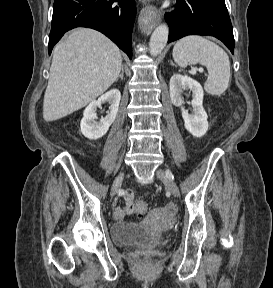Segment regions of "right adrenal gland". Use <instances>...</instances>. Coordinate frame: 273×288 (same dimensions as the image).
I'll list each match as a JSON object with an SVG mask.
<instances>
[{
    "label": "right adrenal gland",
    "instance_id": "2a0ac1e0",
    "mask_svg": "<svg viewBox=\"0 0 273 288\" xmlns=\"http://www.w3.org/2000/svg\"><path fill=\"white\" fill-rule=\"evenodd\" d=\"M119 78H120L121 80L124 79V65L122 66L121 74H120L119 77L116 79V82L118 81Z\"/></svg>",
    "mask_w": 273,
    "mask_h": 288
}]
</instances>
